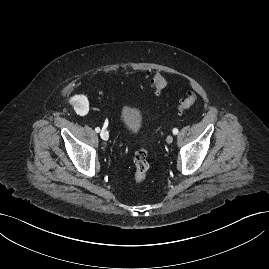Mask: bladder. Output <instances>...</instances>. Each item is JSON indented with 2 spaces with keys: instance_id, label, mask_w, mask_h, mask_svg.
Instances as JSON below:
<instances>
[{
  "instance_id": "bladder-1",
  "label": "bladder",
  "mask_w": 269,
  "mask_h": 269,
  "mask_svg": "<svg viewBox=\"0 0 269 269\" xmlns=\"http://www.w3.org/2000/svg\"><path fill=\"white\" fill-rule=\"evenodd\" d=\"M120 120L123 128L131 133H137L143 126L141 111L129 104L123 105Z\"/></svg>"
}]
</instances>
